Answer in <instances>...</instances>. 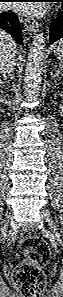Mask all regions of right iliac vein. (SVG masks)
<instances>
[{
	"label": "right iliac vein",
	"mask_w": 63,
	"mask_h": 297,
	"mask_svg": "<svg viewBox=\"0 0 63 297\" xmlns=\"http://www.w3.org/2000/svg\"><path fill=\"white\" fill-rule=\"evenodd\" d=\"M8 222H5L4 226L1 228V232H5L7 229ZM10 237H13V233H10Z\"/></svg>",
	"instance_id": "63e3f726"
}]
</instances>
